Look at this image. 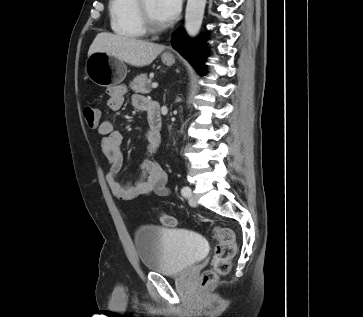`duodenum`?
I'll use <instances>...</instances> for the list:
<instances>
[{
    "label": "duodenum",
    "mask_w": 363,
    "mask_h": 317,
    "mask_svg": "<svg viewBox=\"0 0 363 317\" xmlns=\"http://www.w3.org/2000/svg\"><path fill=\"white\" fill-rule=\"evenodd\" d=\"M148 130L147 136L150 145L158 147L161 142L162 118L160 114V104L155 101L147 103Z\"/></svg>",
    "instance_id": "duodenum-1"
}]
</instances>
